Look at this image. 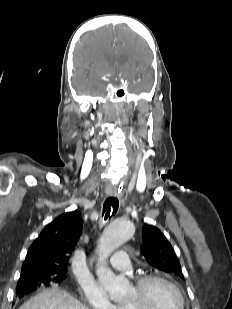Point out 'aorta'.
Listing matches in <instances>:
<instances>
[{"label": "aorta", "mask_w": 232, "mask_h": 309, "mask_svg": "<svg viewBox=\"0 0 232 309\" xmlns=\"http://www.w3.org/2000/svg\"><path fill=\"white\" fill-rule=\"evenodd\" d=\"M134 233L133 225L124 219H115L104 230L99 239L97 276L113 301L122 300L130 284L127 279L116 276L106 265L108 256L128 241Z\"/></svg>", "instance_id": "obj_1"}]
</instances>
